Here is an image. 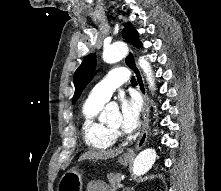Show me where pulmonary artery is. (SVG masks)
Instances as JSON below:
<instances>
[{
    "instance_id": "1",
    "label": "pulmonary artery",
    "mask_w": 221,
    "mask_h": 191,
    "mask_svg": "<svg viewBox=\"0 0 221 191\" xmlns=\"http://www.w3.org/2000/svg\"><path fill=\"white\" fill-rule=\"evenodd\" d=\"M130 72L125 67L112 69L107 76L92 88L88 100L96 103H105L112 93L123 83L129 81Z\"/></svg>"
}]
</instances>
